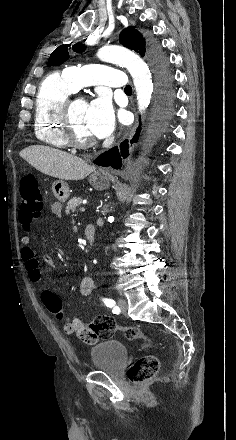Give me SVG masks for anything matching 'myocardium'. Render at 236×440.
I'll use <instances>...</instances> for the list:
<instances>
[{"mask_svg": "<svg viewBox=\"0 0 236 440\" xmlns=\"http://www.w3.org/2000/svg\"><path fill=\"white\" fill-rule=\"evenodd\" d=\"M82 99L77 95H69L67 99L63 102L60 112H59V120L61 122L62 134L67 141L68 145H71L76 148H89L95 144V140L93 138L89 139H81L77 136L76 131L74 129L73 120H72V108L74 103Z\"/></svg>", "mask_w": 236, "mask_h": 440, "instance_id": "f54148a6", "label": "myocardium"}]
</instances>
